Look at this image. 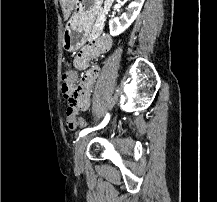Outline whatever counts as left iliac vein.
Instances as JSON below:
<instances>
[{"label": "left iliac vein", "instance_id": "4c4485c4", "mask_svg": "<svg viewBox=\"0 0 217 202\" xmlns=\"http://www.w3.org/2000/svg\"><path fill=\"white\" fill-rule=\"evenodd\" d=\"M90 138H91L90 135L83 136L76 143V146H75V159H76L77 164L79 166L83 165L84 151L86 149L87 143L89 142Z\"/></svg>", "mask_w": 217, "mask_h": 202}]
</instances>
